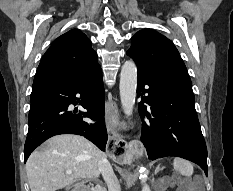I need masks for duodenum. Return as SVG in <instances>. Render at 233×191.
<instances>
[{
  "label": "duodenum",
  "mask_w": 233,
  "mask_h": 191,
  "mask_svg": "<svg viewBox=\"0 0 233 191\" xmlns=\"http://www.w3.org/2000/svg\"><path fill=\"white\" fill-rule=\"evenodd\" d=\"M73 191H91V188L87 186H78Z\"/></svg>",
  "instance_id": "410a0bca"
}]
</instances>
